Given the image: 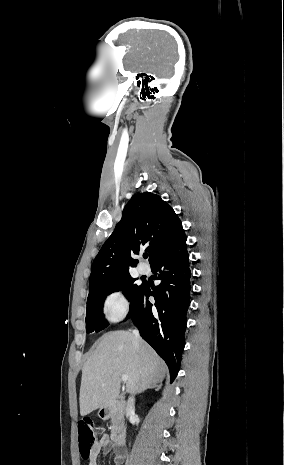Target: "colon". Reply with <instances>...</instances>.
Returning a JSON list of instances; mask_svg holds the SVG:
<instances>
[{
    "label": "colon",
    "instance_id": "5ec220e1",
    "mask_svg": "<svg viewBox=\"0 0 284 465\" xmlns=\"http://www.w3.org/2000/svg\"><path fill=\"white\" fill-rule=\"evenodd\" d=\"M78 436L80 442V457L83 460H89L91 457L92 447L96 441V432L91 422L78 423Z\"/></svg>",
    "mask_w": 284,
    "mask_h": 465
}]
</instances>
